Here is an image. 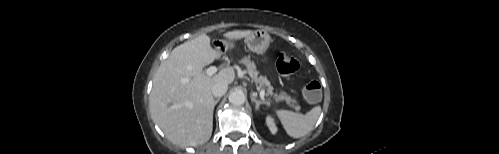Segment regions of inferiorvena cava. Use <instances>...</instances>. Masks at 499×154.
Listing matches in <instances>:
<instances>
[{
  "mask_svg": "<svg viewBox=\"0 0 499 154\" xmlns=\"http://www.w3.org/2000/svg\"><path fill=\"white\" fill-rule=\"evenodd\" d=\"M228 85L225 82H218L212 87V94L215 97H221L227 92Z\"/></svg>",
  "mask_w": 499,
  "mask_h": 154,
  "instance_id": "1",
  "label": "inferior vena cava"
}]
</instances>
